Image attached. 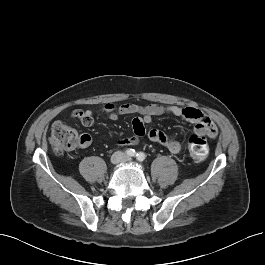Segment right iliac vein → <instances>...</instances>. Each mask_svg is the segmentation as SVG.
Returning a JSON list of instances; mask_svg holds the SVG:
<instances>
[{
    "label": "right iliac vein",
    "mask_w": 265,
    "mask_h": 265,
    "mask_svg": "<svg viewBox=\"0 0 265 265\" xmlns=\"http://www.w3.org/2000/svg\"><path fill=\"white\" fill-rule=\"evenodd\" d=\"M122 154L117 152V153H114L111 157V163L112 164H118L121 160H122Z\"/></svg>",
    "instance_id": "63e3f726"
}]
</instances>
